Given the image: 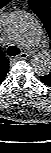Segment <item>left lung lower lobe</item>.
<instances>
[{
    "instance_id": "0a47b994",
    "label": "left lung lower lobe",
    "mask_w": 51,
    "mask_h": 153,
    "mask_svg": "<svg viewBox=\"0 0 51 153\" xmlns=\"http://www.w3.org/2000/svg\"><path fill=\"white\" fill-rule=\"evenodd\" d=\"M46 76V75H45ZM45 76H40V80L45 84L51 87V81Z\"/></svg>"
}]
</instances>
